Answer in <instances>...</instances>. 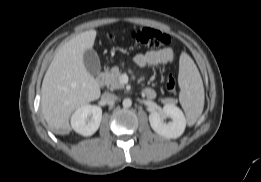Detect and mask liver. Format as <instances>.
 Instances as JSON below:
<instances>
[{
  "label": "liver",
  "instance_id": "obj_1",
  "mask_svg": "<svg viewBox=\"0 0 261 182\" xmlns=\"http://www.w3.org/2000/svg\"><path fill=\"white\" fill-rule=\"evenodd\" d=\"M96 35V30H88L62 45L46 71L41 109L44 119L55 130L69 132L72 112L100 97V87L83 62L84 52L92 49Z\"/></svg>",
  "mask_w": 261,
  "mask_h": 182
}]
</instances>
